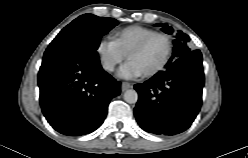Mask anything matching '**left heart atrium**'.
<instances>
[{
  "mask_svg": "<svg viewBox=\"0 0 248 158\" xmlns=\"http://www.w3.org/2000/svg\"><path fill=\"white\" fill-rule=\"evenodd\" d=\"M142 75V70L130 59L118 71V76L123 79H136Z\"/></svg>",
  "mask_w": 248,
  "mask_h": 158,
  "instance_id": "1",
  "label": "left heart atrium"
}]
</instances>
